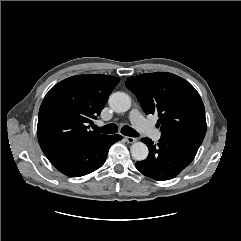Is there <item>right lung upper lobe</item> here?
<instances>
[{
	"mask_svg": "<svg viewBox=\"0 0 241 241\" xmlns=\"http://www.w3.org/2000/svg\"><path fill=\"white\" fill-rule=\"evenodd\" d=\"M119 81L109 75H77L52 87L38 116L37 135L44 154L103 136L88 130V123L97 119Z\"/></svg>",
	"mask_w": 241,
	"mask_h": 241,
	"instance_id": "obj_1",
	"label": "right lung upper lobe"
}]
</instances>
